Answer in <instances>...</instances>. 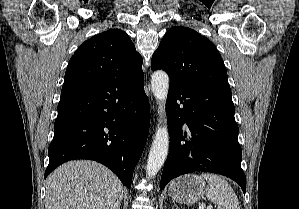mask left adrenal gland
I'll list each match as a JSON object with an SVG mask.
<instances>
[{
  "instance_id": "1",
  "label": "left adrenal gland",
  "mask_w": 299,
  "mask_h": 209,
  "mask_svg": "<svg viewBox=\"0 0 299 209\" xmlns=\"http://www.w3.org/2000/svg\"><path fill=\"white\" fill-rule=\"evenodd\" d=\"M174 206L176 207V209H178L176 204H174ZM172 209H174V208H172Z\"/></svg>"
}]
</instances>
